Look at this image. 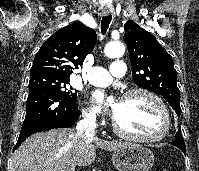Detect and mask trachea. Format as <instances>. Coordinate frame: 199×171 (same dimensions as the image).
<instances>
[{"instance_id": "obj_1", "label": "trachea", "mask_w": 199, "mask_h": 171, "mask_svg": "<svg viewBox=\"0 0 199 171\" xmlns=\"http://www.w3.org/2000/svg\"><path fill=\"white\" fill-rule=\"evenodd\" d=\"M111 20H112V16L111 15H107V16H104L101 20V32L102 34H106L107 32V29L109 27V24L111 23Z\"/></svg>"}]
</instances>
